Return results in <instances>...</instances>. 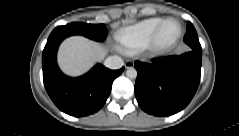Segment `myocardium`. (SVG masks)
<instances>
[{
    "mask_svg": "<svg viewBox=\"0 0 239 136\" xmlns=\"http://www.w3.org/2000/svg\"><path fill=\"white\" fill-rule=\"evenodd\" d=\"M170 23H175L178 26L179 35H180V25L178 24V22L173 21V20H166L155 30V32L151 35V37L147 41L149 48H160V46H161V44L159 42L160 34H161L162 30Z\"/></svg>",
    "mask_w": 239,
    "mask_h": 136,
    "instance_id": "f54148a6",
    "label": "myocardium"
}]
</instances>
